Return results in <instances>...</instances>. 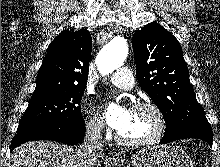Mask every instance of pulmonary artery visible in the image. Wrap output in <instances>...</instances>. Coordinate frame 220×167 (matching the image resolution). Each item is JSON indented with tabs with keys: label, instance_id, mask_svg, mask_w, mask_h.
Wrapping results in <instances>:
<instances>
[{
	"label": "pulmonary artery",
	"instance_id": "obj_1",
	"mask_svg": "<svg viewBox=\"0 0 220 167\" xmlns=\"http://www.w3.org/2000/svg\"><path fill=\"white\" fill-rule=\"evenodd\" d=\"M109 81L124 90H130L134 86V78L130 70L126 67L117 69L109 76Z\"/></svg>",
	"mask_w": 220,
	"mask_h": 167
}]
</instances>
